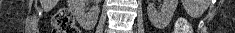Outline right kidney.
<instances>
[{"label":"right kidney","mask_w":235,"mask_h":33,"mask_svg":"<svg viewBox=\"0 0 235 33\" xmlns=\"http://www.w3.org/2000/svg\"><path fill=\"white\" fill-rule=\"evenodd\" d=\"M85 1L86 0H69L68 6L77 19L85 21L86 19L90 18L96 21L100 13V9L98 7L100 0H95L96 4L93 5L88 12L85 8Z\"/></svg>","instance_id":"1"}]
</instances>
